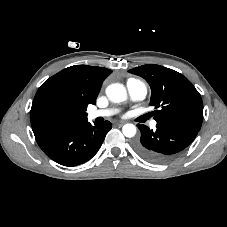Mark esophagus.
<instances>
[{"instance_id":"34e87169","label":"esophagus","mask_w":227,"mask_h":227,"mask_svg":"<svg viewBox=\"0 0 227 227\" xmlns=\"http://www.w3.org/2000/svg\"><path fill=\"white\" fill-rule=\"evenodd\" d=\"M124 124V122H117L116 125L118 126H122Z\"/></svg>"}]
</instances>
